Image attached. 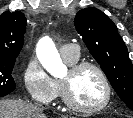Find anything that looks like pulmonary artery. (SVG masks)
Returning <instances> with one entry per match:
<instances>
[{
	"instance_id": "obj_1",
	"label": "pulmonary artery",
	"mask_w": 133,
	"mask_h": 118,
	"mask_svg": "<svg viewBox=\"0 0 133 118\" xmlns=\"http://www.w3.org/2000/svg\"><path fill=\"white\" fill-rule=\"evenodd\" d=\"M62 57L74 58L79 56V48L75 44H65L60 47Z\"/></svg>"
}]
</instances>
